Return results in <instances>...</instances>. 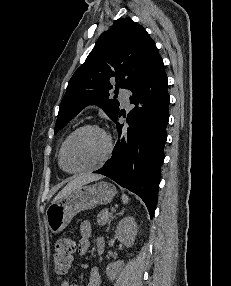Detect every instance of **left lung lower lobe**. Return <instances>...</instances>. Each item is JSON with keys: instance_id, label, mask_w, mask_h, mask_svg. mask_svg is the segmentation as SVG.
Here are the masks:
<instances>
[{"instance_id": "obj_1", "label": "left lung lower lobe", "mask_w": 231, "mask_h": 286, "mask_svg": "<svg viewBox=\"0 0 231 286\" xmlns=\"http://www.w3.org/2000/svg\"><path fill=\"white\" fill-rule=\"evenodd\" d=\"M168 81L162 58L158 59L128 90L133 92L134 108L127 116V127L116 123L119 140L112 157L95 171L137 194L154 215L160 167L164 160L166 126L169 121Z\"/></svg>"}]
</instances>
